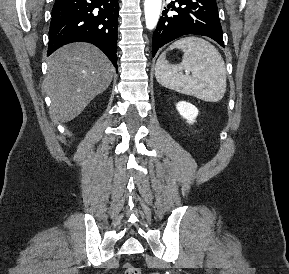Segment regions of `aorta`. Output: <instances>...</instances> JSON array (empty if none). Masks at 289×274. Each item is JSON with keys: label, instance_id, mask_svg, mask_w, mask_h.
Instances as JSON below:
<instances>
[{"label": "aorta", "instance_id": "762f6f07", "mask_svg": "<svg viewBox=\"0 0 289 274\" xmlns=\"http://www.w3.org/2000/svg\"><path fill=\"white\" fill-rule=\"evenodd\" d=\"M162 0H145L144 12L146 27L152 30L156 27L161 11Z\"/></svg>", "mask_w": 289, "mask_h": 274}]
</instances>
